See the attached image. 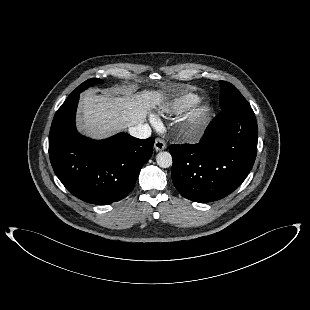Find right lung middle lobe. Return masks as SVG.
I'll return each mask as SVG.
<instances>
[{
    "mask_svg": "<svg viewBox=\"0 0 310 310\" xmlns=\"http://www.w3.org/2000/svg\"><path fill=\"white\" fill-rule=\"evenodd\" d=\"M101 82H103V80H100L99 78L89 79L85 81L84 83H82L80 86H78L70 95L75 94V93H81L82 91L90 87L91 85L98 84Z\"/></svg>",
    "mask_w": 310,
    "mask_h": 310,
    "instance_id": "obj_1",
    "label": "right lung middle lobe"
}]
</instances>
